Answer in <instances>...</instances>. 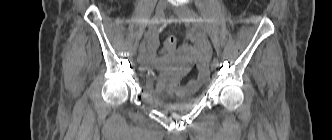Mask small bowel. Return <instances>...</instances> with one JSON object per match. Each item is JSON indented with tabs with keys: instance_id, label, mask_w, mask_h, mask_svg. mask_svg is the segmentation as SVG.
I'll return each mask as SVG.
<instances>
[{
	"instance_id": "small-bowel-1",
	"label": "small bowel",
	"mask_w": 332,
	"mask_h": 140,
	"mask_svg": "<svg viewBox=\"0 0 332 140\" xmlns=\"http://www.w3.org/2000/svg\"><path fill=\"white\" fill-rule=\"evenodd\" d=\"M187 39L193 41L196 46L183 44L178 48V51L191 53L195 57L199 68V74L197 79L194 81L202 83L208 76V61L211 55L210 47L205 41L192 35H188ZM157 55V40L155 38H151L149 41V51L145 54V58L143 60L142 69L144 71L157 62ZM148 76L149 79L152 80L154 74L149 72ZM156 89L160 92L176 94L179 93L181 86L177 80H171L167 74L162 73L156 83Z\"/></svg>"
}]
</instances>
